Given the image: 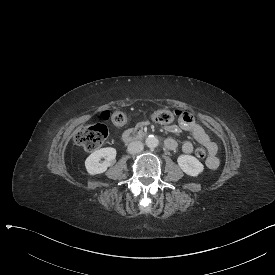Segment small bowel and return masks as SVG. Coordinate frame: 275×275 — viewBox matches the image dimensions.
<instances>
[{"instance_id":"obj_1","label":"small bowel","mask_w":275,"mask_h":275,"mask_svg":"<svg viewBox=\"0 0 275 275\" xmlns=\"http://www.w3.org/2000/svg\"><path fill=\"white\" fill-rule=\"evenodd\" d=\"M181 130L190 132L194 140L208 150L209 157L206 160V166L211 170L217 169L219 166V159L216 156L217 145L212 141L203 127L195 121L194 117L189 112H181L179 115L178 124L168 126V131L171 133H177ZM167 140H170L169 145L166 146L168 149L174 150L177 148L178 143L174 139L169 138ZM181 148L185 154H190L192 153L194 146L192 142L185 141L182 143Z\"/></svg>"}]
</instances>
